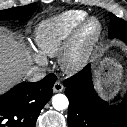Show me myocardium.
I'll list each match as a JSON object with an SVG mask.
<instances>
[{
    "label": "myocardium",
    "mask_w": 127,
    "mask_h": 127,
    "mask_svg": "<svg viewBox=\"0 0 127 127\" xmlns=\"http://www.w3.org/2000/svg\"><path fill=\"white\" fill-rule=\"evenodd\" d=\"M96 24V30L85 36L87 27ZM103 32V26L96 17L85 18L72 32L60 54V65L69 73L80 71L88 63Z\"/></svg>",
    "instance_id": "myocardium-1"
}]
</instances>
